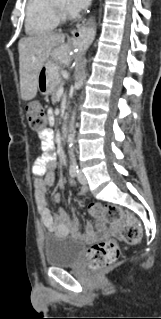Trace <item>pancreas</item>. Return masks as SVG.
<instances>
[{
  "mask_svg": "<svg viewBox=\"0 0 161 319\" xmlns=\"http://www.w3.org/2000/svg\"><path fill=\"white\" fill-rule=\"evenodd\" d=\"M63 87V82L59 81L58 85L54 88V90L52 91V100L53 101H58L59 97L57 96V91L59 88Z\"/></svg>",
  "mask_w": 161,
  "mask_h": 319,
  "instance_id": "pancreas-1",
  "label": "pancreas"
}]
</instances>
